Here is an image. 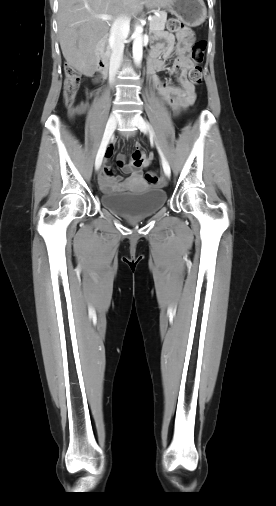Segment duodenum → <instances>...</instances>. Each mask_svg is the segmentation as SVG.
<instances>
[{
	"label": "duodenum",
	"instance_id": "obj_1",
	"mask_svg": "<svg viewBox=\"0 0 276 506\" xmlns=\"http://www.w3.org/2000/svg\"><path fill=\"white\" fill-rule=\"evenodd\" d=\"M107 40L108 37L104 36L100 39L96 46V65L98 72L102 75H106L108 73L110 64L109 55L106 48Z\"/></svg>",
	"mask_w": 276,
	"mask_h": 506
}]
</instances>
